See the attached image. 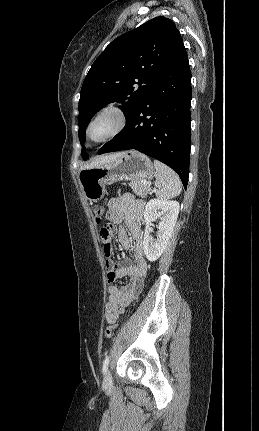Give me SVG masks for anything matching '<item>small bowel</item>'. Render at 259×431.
Masks as SVG:
<instances>
[{
	"mask_svg": "<svg viewBox=\"0 0 259 431\" xmlns=\"http://www.w3.org/2000/svg\"><path fill=\"white\" fill-rule=\"evenodd\" d=\"M144 202L131 195L111 198L108 202V217L116 224L123 223L117 238L124 249L133 253L132 261L115 262L112 251L106 256L109 300L105 307V321L116 323L127 307L140 294L146 276L148 264L143 250V232L141 229ZM129 278L124 287L115 284L117 279Z\"/></svg>",
	"mask_w": 259,
	"mask_h": 431,
	"instance_id": "1",
	"label": "small bowel"
}]
</instances>
